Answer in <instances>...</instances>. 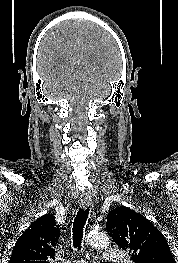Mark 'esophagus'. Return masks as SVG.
<instances>
[{
  "label": "esophagus",
  "mask_w": 178,
  "mask_h": 263,
  "mask_svg": "<svg viewBox=\"0 0 178 263\" xmlns=\"http://www.w3.org/2000/svg\"><path fill=\"white\" fill-rule=\"evenodd\" d=\"M80 206L82 209H86L92 206L91 198L88 196H83L80 198Z\"/></svg>",
  "instance_id": "34e87169"
}]
</instances>
